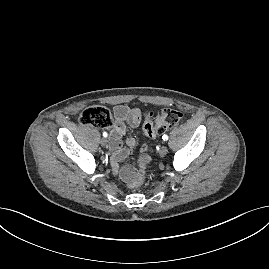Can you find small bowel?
Wrapping results in <instances>:
<instances>
[{"mask_svg": "<svg viewBox=\"0 0 269 269\" xmlns=\"http://www.w3.org/2000/svg\"><path fill=\"white\" fill-rule=\"evenodd\" d=\"M115 121L110 131V151L111 167L115 174L123 181L129 182L135 170L131 166L119 167V162L125 159L136 146V140L129 137L126 140V146H123L122 137L125 134L126 127L137 128L142 120V113L139 108L117 105L114 107ZM150 160L149 155L141 157L140 166L144 167Z\"/></svg>", "mask_w": 269, "mask_h": 269, "instance_id": "small-bowel-1", "label": "small bowel"}]
</instances>
